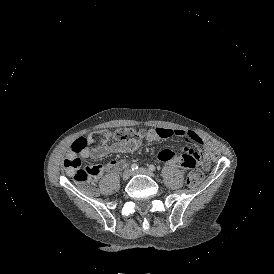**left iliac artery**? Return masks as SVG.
Returning a JSON list of instances; mask_svg holds the SVG:
<instances>
[{"instance_id":"left-iliac-artery-1","label":"left iliac artery","mask_w":274,"mask_h":274,"mask_svg":"<svg viewBox=\"0 0 274 274\" xmlns=\"http://www.w3.org/2000/svg\"><path fill=\"white\" fill-rule=\"evenodd\" d=\"M148 168H149L150 171H155L156 170L154 165H149Z\"/></svg>"}]
</instances>
